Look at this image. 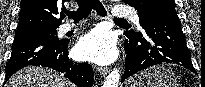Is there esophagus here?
I'll return each mask as SVG.
<instances>
[{
    "instance_id": "esophagus-1",
    "label": "esophagus",
    "mask_w": 205,
    "mask_h": 87,
    "mask_svg": "<svg viewBox=\"0 0 205 87\" xmlns=\"http://www.w3.org/2000/svg\"><path fill=\"white\" fill-rule=\"evenodd\" d=\"M110 71V68L108 67H99L98 72L100 73L101 76H106Z\"/></svg>"
}]
</instances>
